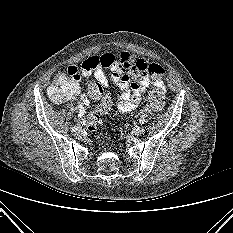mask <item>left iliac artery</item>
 Returning <instances> with one entry per match:
<instances>
[{
    "instance_id": "left-iliac-artery-1",
    "label": "left iliac artery",
    "mask_w": 233,
    "mask_h": 233,
    "mask_svg": "<svg viewBox=\"0 0 233 233\" xmlns=\"http://www.w3.org/2000/svg\"><path fill=\"white\" fill-rule=\"evenodd\" d=\"M139 123L142 125V124L145 123V120H144V119H140V120H139Z\"/></svg>"
}]
</instances>
